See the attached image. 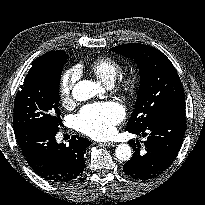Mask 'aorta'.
<instances>
[{"label":"aorta","mask_w":205,"mask_h":205,"mask_svg":"<svg viewBox=\"0 0 205 205\" xmlns=\"http://www.w3.org/2000/svg\"><path fill=\"white\" fill-rule=\"evenodd\" d=\"M101 90L100 84L90 80L78 82L72 90V96L77 101H86L96 96ZM115 156L120 161H128L132 156L130 145L122 143L115 149Z\"/></svg>","instance_id":"762f6f07"}]
</instances>
